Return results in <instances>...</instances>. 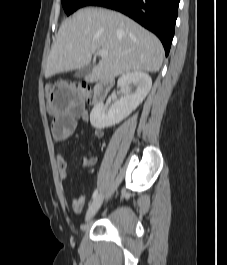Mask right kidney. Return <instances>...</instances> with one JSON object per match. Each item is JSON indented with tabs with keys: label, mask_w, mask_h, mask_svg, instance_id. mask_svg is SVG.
I'll use <instances>...</instances> for the list:
<instances>
[{
	"label": "right kidney",
	"mask_w": 227,
	"mask_h": 265,
	"mask_svg": "<svg viewBox=\"0 0 227 265\" xmlns=\"http://www.w3.org/2000/svg\"><path fill=\"white\" fill-rule=\"evenodd\" d=\"M134 84L137 88L131 94L113 103L109 108L103 103L94 106L90 113V123L96 129H104L114 126L128 117L145 99L152 87L151 77L142 71H132L123 74L117 82L120 88H129Z\"/></svg>",
	"instance_id": "right-kidney-1"
}]
</instances>
